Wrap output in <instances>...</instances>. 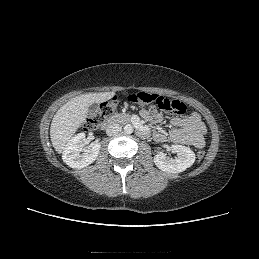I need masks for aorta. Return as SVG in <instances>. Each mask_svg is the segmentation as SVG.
<instances>
[{
  "instance_id": "1",
  "label": "aorta",
  "mask_w": 259,
  "mask_h": 259,
  "mask_svg": "<svg viewBox=\"0 0 259 259\" xmlns=\"http://www.w3.org/2000/svg\"><path fill=\"white\" fill-rule=\"evenodd\" d=\"M124 132H125L126 134H131V133H133V126L130 125V124L125 125V126H124Z\"/></svg>"
}]
</instances>
